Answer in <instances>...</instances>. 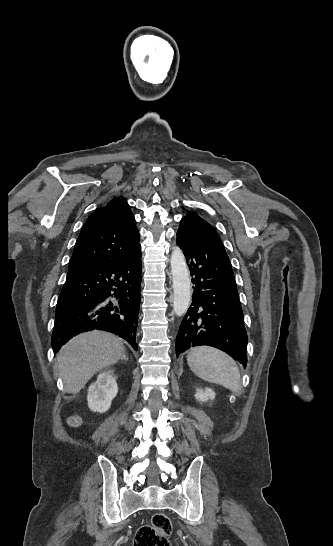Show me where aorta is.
Here are the masks:
<instances>
[{
  "label": "aorta",
  "instance_id": "obj_1",
  "mask_svg": "<svg viewBox=\"0 0 333 546\" xmlns=\"http://www.w3.org/2000/svg\"><path fill=\"white\" fill-rule=\"evenodd\" d=\"M171 274L173 281V309L177 316L185 315L191 301V279L185 257L179 248L171 255Z\"/></svg>",
  "mask_w": 333,
  "mask_h": 546
}]
</instances>
